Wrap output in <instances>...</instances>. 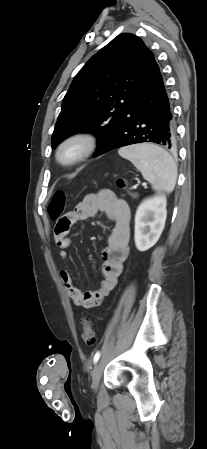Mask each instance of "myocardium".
<instances>
[{
    "instance_id": "obj_1",
    "label": "myocardium",
    "mask_w": 207,
    "mask_h": 449,
    "mask_svg": "<svg viewBox=\"0 0 207 449\" xmlns=\"http://www.w3.org/2000/svg\"><path fill=\"white\" fill-rule=\"evenodd\" d=\"M76 147L75 155L64 159L63 153L66 149ZM97 148V139L91 132L76 131L65 137L57 146L55 152L56 161L64 167H69L81 163L91 157Z\"/></svg>"
}]
</instances>
